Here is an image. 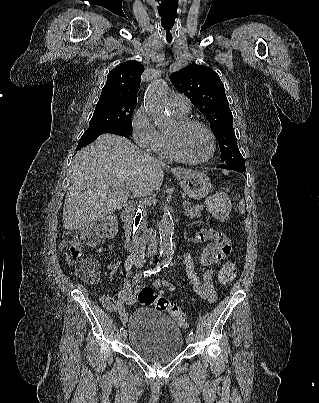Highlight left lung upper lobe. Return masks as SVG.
I'll use <instances>...</instances> for the list:
<instances>
[{"label":"left lung upper lobe","mask_w":319,"mask_h":403,"mask_svg":"<svg viewBox=\"0 0 319 403\" xmlns=\"http://www.w3.org/2000/svg\"><path fill=\"white\" fill-rule=\"evenodd\" d=\"M170 81L206 116L217 137L221 160L245 166L233 129V115L219 75L209 67L190 65L171 74Z\"/></svg>","instance_id":"left-lung-upper-lobe-1"}]
</instances>
